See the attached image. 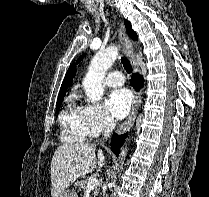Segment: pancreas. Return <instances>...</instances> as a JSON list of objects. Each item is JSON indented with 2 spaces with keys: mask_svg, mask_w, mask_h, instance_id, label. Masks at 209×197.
Returning <instances> with one entry per match:
<instances>
[{
  "mask_svg": "<svg viewBox=\"0 0 209 197\" xmlns=\"http://www.w3.org/2000/svg\"><path fill=\"white\" fill-rule=\"evenodd\" d=\"M93 179L92 176H89V177H82L81 180H78L77 182H75V185L76 186H80V188H82L83 190H87V183ZM99 192V189L98 188H95L93 190V193H92V196L91 197H95Z\"/></svg>",
  "mask_w": 209,
  "mask_h": 197,
  "instance_id": "1",
  "label": "pancreas"
}]
</instances>
